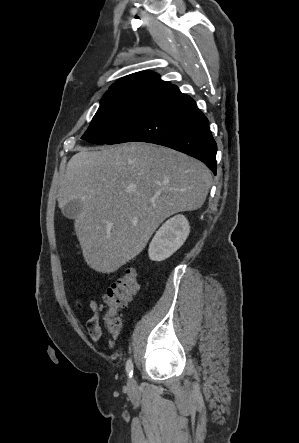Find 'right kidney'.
Here are the masks:
<instances>
[{"label":"right kidney","instance_id":"1","mask_svg":"<svg viewBox=\"0 0 299 443\" xmlns=\"http://www.w3.org/2000/svg\"><path fill=\"white\" fill-rule=\"evenodd\" d=\"M190 233L188 220L183 215L168 219L156 232L149 245V258L163 261L175 253L186 241Z\"/></svg>","mask_w":299,"mask_h":443}]
</instances>
